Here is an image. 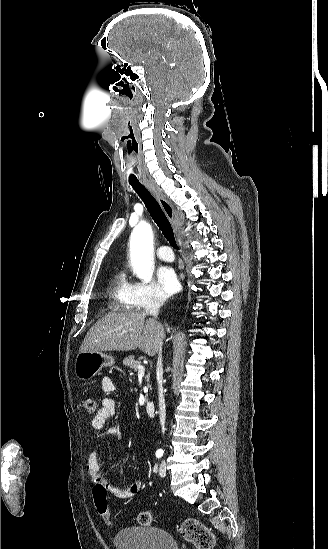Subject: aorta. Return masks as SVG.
<instances>
[{
	"label": "aorta",
	"mask_w": 328,
	"mask_h": 549,
	"mask_svg": "<svg viewBox=\"0 0 328 549\" xmlns=\"http://www.w3.org/2000/svg\"><path fill=\"white\" fill-rule=\"evenodd\" d=\"M152 242L151 226L144 221L140 222L131 234L130 253L137 277L146 283L151 281L153 274Z\"/></svg>",
	"instance_id": "aorta-1"
}]
</instances>
